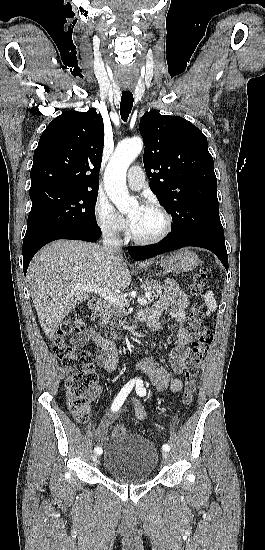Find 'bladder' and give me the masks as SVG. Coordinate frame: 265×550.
Segmentation results:
<instances>
[{
  "label": "bladder",
  "instance_id": "obj_1",
  "mask_svg": "<svg viewBox=\"0 0 265 550\" xmlns=\"http://www.w3.org/2000/svg\"><path fill=\"white\" fill-rule=\"evenodd\" d=\"M154 445L138 434L111 437L103 450V465L114 480L138 483L148 480L157 465Z\"/></svg>",
  "mask_w": 265,
  "mask_h": 550
}]
</instances>
